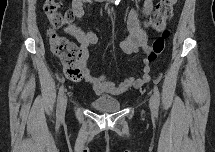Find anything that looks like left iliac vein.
<instances>
[{
  "label": "left iliac vein",
  "mask_w": 215,
  "mask_h": 152,
  "mask_svg": "<svg viewBox=\"0 0 215 152\" xmlns=\"http://www.w3.org/2000/svg\"><path fill=\"white\" fill-rule=\"evenodd\" d=\"M149 106H150L152 114H155V107H154V99H153V97H151V99L149 101Z\"/></svg>",
  "instance_id": "obj_1"
}]
</instances>
